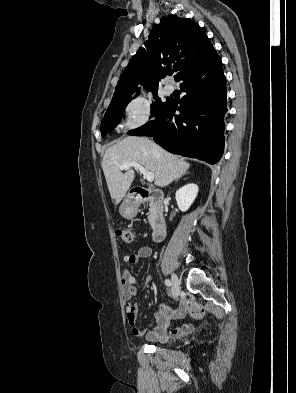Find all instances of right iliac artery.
I'll list each match as a JSON object with an SVG mask.
<instances>
[{
    "mask_svg": "<svg viewBox=\"0 0 296 393\" xmlns=\"http://www.w3.org/2000/svg\"><path fill=\"white\" fill-rule=\"evenodd\" d=\"M165 284H166L167 286H171V285H172V283H171V281H170L169 279H166V280H165Z\"/></svg>",
    "mask_w": 296,
    "mask_h": 393,
    "instance_id": "right-iliac-artery-1",
    "label": "right iliac artery"
}]
</instances>
